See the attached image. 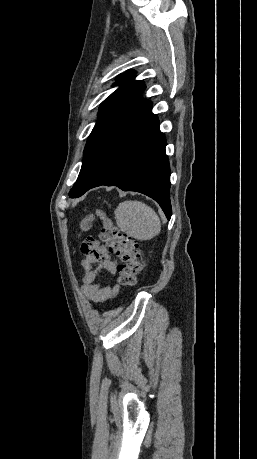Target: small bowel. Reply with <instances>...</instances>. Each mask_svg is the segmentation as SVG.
Segmentation results:
<instances>
[{
    "mask_svg": "<svg viewBox=\"0 0 257 459\" xmlns=\"http://www.w3.org/2000/svg\"><path fill=\"white\" fill-rule=\"evenodd\" d=\"M81 252L84 256L80 262L83 294L97 303L114 299L119 293V284L103 285L99 280L103 272H116L117 263L110 252L96 241L82 244Z\"/></svg>",
    "mask_w": 257,
    "mask_h": 459,
    "instance_id": "small-bowel-1",
    "label": "small bowel"
}]
</instances>
